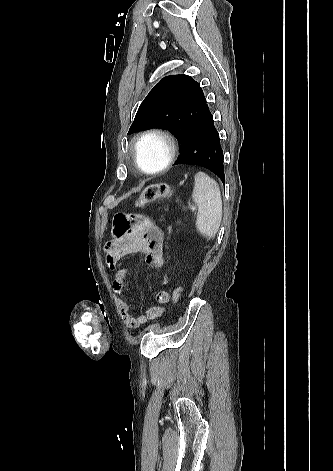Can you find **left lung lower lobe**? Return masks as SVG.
<instances>
[{
    "instance_id": "0a47b994",
    "label": "left lung lower lobe",
    "mask_w": 333,
    "mask_h": 471,
    "mask_svg": "<svg viewBox=\"0 0 333 471\" xmlns=\"http://www.w3.org/2000/svg\"><path fill=\"white\" fill-rule=\"evenodd\" d=\"M177 164L203 166L214 172L225 183L223 151L209 108L195 126L188 144L174 163Z\"/></svg>"
}]
</instances>
